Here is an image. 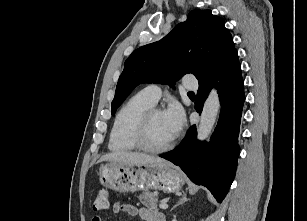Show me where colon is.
<instances>
[{"instance_id":"5ec220e1","label":"colon","mask_w":307,"mask_h":221,"mask_svg":"<svg viewBox=\"0 0 307 221\" xmlns=\"http://www.w3.org/2000/svg\"><path fill=\"white\" fill-rule=\"evenodd\" d=\"M109 206V195L106 190L102 189L98 192L93 208L96 212H102L106 210Z\"/></svg>"}]
</instances>
